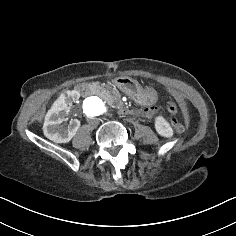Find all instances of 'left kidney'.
<instances>
[{"label":"left kidney","mask_w":236,"mask_h":236,"mask_svg":"<svg viewBox=\"0 0 236 236\" xmlns=\"http://www.w3.org/2000/svg\"><path fill=\"white\" fill-rule=\"evenodd\" d=\"M155 129L161 136L170 138L173 136V129L170 124L162 117L155 118Z\"/></svg>","instance_id":"obj_1"}]
</instances>
